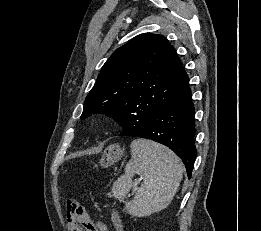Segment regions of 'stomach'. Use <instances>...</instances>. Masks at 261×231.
I'll use <instances>...</instances> for the list:
<instances>
[{"label": "stomach", "mask_w": 261, "mask_h": 231, "mask_svg": "<svg viewBox=\"0 0 261 231\" xmlns=\"http://www.w3.org/2000/svg\"><path fill=\"white\" fill-rule=\"evenodd\" d=\"M124 154L123 149L118 144L110 145L104 151L102 158L100 159V164L103 167H109L116 162H118Z\"/></svg>", "instance_id": "1"}]
</instances>
